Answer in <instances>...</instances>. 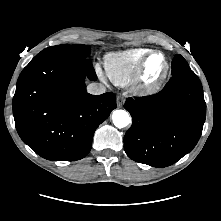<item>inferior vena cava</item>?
Here are the masks:
<instances>
[{
  "label": "inferior vena cava",
  "instance_id": "1",
  "mask_svg": "<svg viewBox=\"0 0 221 221\" xmlns=\"http://www.w3.org/2000/svg\"><path fill=\"white\" fill-rule=\"evenodd\" d=\"M87 92L92 95H100L106 92V87L101 83H91L87 86Z\"/></svg>",
  "mask_w": 221,
  "mask_h": 221
}]
</instances>
